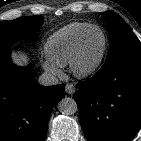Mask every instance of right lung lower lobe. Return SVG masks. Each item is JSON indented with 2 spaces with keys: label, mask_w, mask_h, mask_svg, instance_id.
Segmentation results:
<instances>
[{
  "label": "right lung lower lobe",
  "mask_w": 141,
  "mask_h": 141,
  "mask_svg": "<svg viewBox=\"0 0 141 141\" xmlns=\"http://www.w3.org/2000/svg\"><path fill=\"white\" fill-rule=\"evenodd\" d=\"M11 49L0 51V141H44L49 112L64 97V85L41 86L14 65Z\"/></svg>",
  "instance_id": "obj_1"
}]
</instances>
